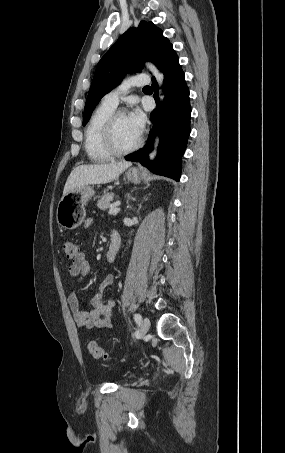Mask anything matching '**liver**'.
<instances>
[{"label":"liver","instance_id":"liver-1","mask_svg":"<svg viewBox=\"0 0 285 453\" xmlns=\"http://www.w3.org/2000/svg\"><path fill=\"white\" fill-rule=\"evenodd\" d=\"M131 162H118L110 164L80 165L69 175L63 190V196L68 192L94 184L109 183L119 177Z\"/></svg>","mask_w":285,"mask_h":453}]
</instances>
